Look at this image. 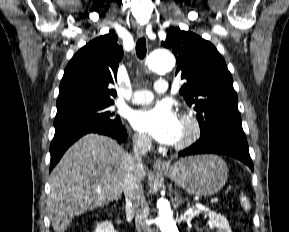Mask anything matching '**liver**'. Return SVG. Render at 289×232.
Listing matches in <instances>:
<instances>
[{
  "instance_id": "6515ba94",
  "label": "liver",
  "mask_w": 289,
  "mask_h": 232,
  "mask_svg": "<svg viewBox=\"0 0 289 232\" xmlns=\"http://www.w3.org/2000/svg\"><path fill=\"white\" fill-rule=\"evenodd\" d=\"M126 155L117 141L97 133L67 150L49 180L48 211L55 232H65L74 217L121 197ZM136 172L144 180V167Z\"/></svg>"
}]
</instances>
